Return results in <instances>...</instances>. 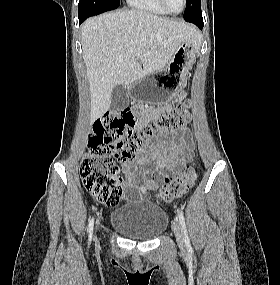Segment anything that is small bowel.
<instances>
[{"mask_svg": "<svg viewBox=\"0 0 280 285\" xmlns=\"http://www.w3.org/2000/svg\"><path fill=\"white\" fill-rule=\"evenodd\" d=\"M186 92L178 96V100L186 97ZM171 105L164 107L169 110ZM160 110H154L140 120L138 128L144 126L149 117ZM194 143L190 133L182 130L171 136L163 134L161 138L151 146L145 155L136 157L133 161H124L122 170L126 175L124 182L125 197L128 200L147 201L150 192L157 190L162 184L170 180L174 175L182 171L186 164L193 158ZM138 167L141 168L138 171Z\"/></svg>", "mask_w": 280, "mask_h": 285, "instance_id": "obj_1", "label": "small bowel"}]
</instances>
